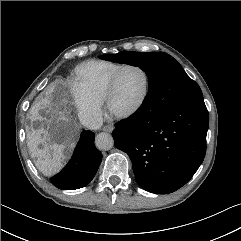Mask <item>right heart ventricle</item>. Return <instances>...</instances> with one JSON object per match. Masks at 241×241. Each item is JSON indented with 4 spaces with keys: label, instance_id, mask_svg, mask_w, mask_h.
<instances>
[{
    "label": "right heart ventricle",
    "instance_id": "right-heart-ventricle-1",
    "mask_svg": "<svg viewBox=\"0 0 241 241\" xmlns=\"http://www.w3.org/2000/svg\"><path fill=\"white\" fill-rule=\"evenodd\" d=\"M123 63L92 61L80 65L76 71V84L93 99L103 102L110 79Z\"/></svg>",
    "mask_w": 241,
    "mask_h": 241
}]
</instances>
